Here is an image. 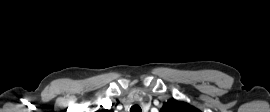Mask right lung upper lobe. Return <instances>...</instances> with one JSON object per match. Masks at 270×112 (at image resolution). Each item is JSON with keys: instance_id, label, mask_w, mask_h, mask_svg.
Wrapping results in <instances>:
<instances>
[{"instance_id": "cb5924a9", "label": "right lung upper lobe", "mask_w": 270, "mask_h": 112, "mask_svg": "<svg viewBox=\"0 0 270 112\" xmlns=\"http://www.w3.org/2000/svg\"><path fill=\"white\" fill-rule=\"evenodd\" d=\"M97 112H113V111L107 110V109H103V110H100V111H97Z\"/></svg>"}]
</instances>
